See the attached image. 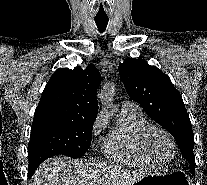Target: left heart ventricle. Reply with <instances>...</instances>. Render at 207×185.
<instances>
[{
	"label": "left heart ventricle",
	"instance_id": "obj_1",
	"mask_svg": "<svg viewBox=\"0 0 207 185\" xmlns=\"http://www.w3.org/2000/svg\"><path fill=\"white\" fill-rule=\"evenodd\" d=\"M151 145L154 151L165 160H168L173 155V145L171 141L160 132H154L151 135Z\"/></svg>",
	"mask_w": 207,
	"mask_h": 185
}]
</instances>
